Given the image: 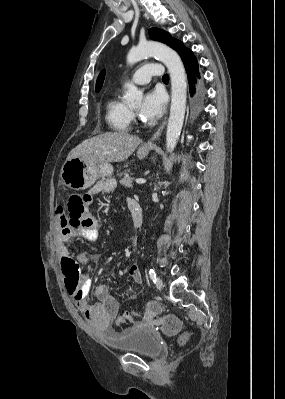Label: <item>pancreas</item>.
I'll return each instance as SVG.
<instances>
[{
    "instance_id": "pancreas-1",
    "label": "pancreas",
    "mask_w": 285,
    "mask_h": 399,
    "mask_svg": "<svg viewBox=\"0 0 285 399\" xmlns=\"http://www.w3.org/2000/svg\"><path fill=\"white\" fill-rule=\"evenodd\" d=\"M132 178L129 176V175H125L122 179H121V181H120V183L122 184V185H124V186H126V187H132Z\"/></svg>"
}]
</instances>
